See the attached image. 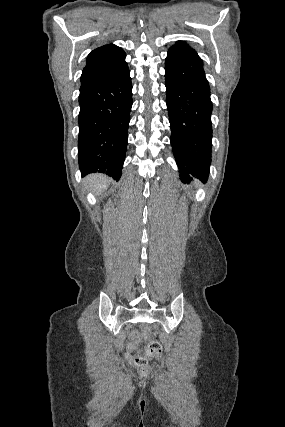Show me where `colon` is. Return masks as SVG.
Instances as JSON below:
<instances>
[{"instance_id":"1","label":"colon","mask_w":285,"mask_h":427,"mask_svg":"<svg viewBox=\"0 0 285 427\" xmlns=\"http://www.w3.org/2000/svg\"><path fill=\"white\" fill-rule=\"evenodd\" d=\"M143 333H148V328H143ZM162 354V345L158 341L150 342L145 348V355L139 354L137 351L132 359L134 367L141 372L142 375H147L149 372V366L147 357H157Z\"/></svg>"}]
</instances>
